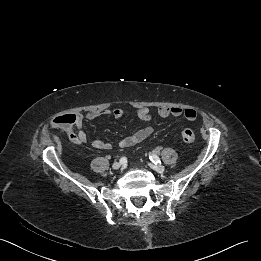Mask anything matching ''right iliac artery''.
<instances>
[{"label": "right iliac artery", "instance_id": "82829eb1", "mask_svg": "<svg viewBox=\"0 0 261 261\" xmlns=\"http://www.w3.org/2000/svg\"><path fill=\"white\" fill-rule=\"evenodd\" d=\"M119 161L121 164H125L127 162V159L126 157H122Z\"/></svg>", "mask_w": 261, "mask_h": 261}]
</instances>
